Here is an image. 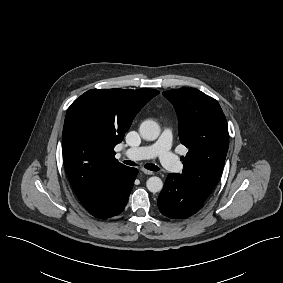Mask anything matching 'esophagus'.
Returning <instances> with one entry per match:
<instances>
[{
  "label": "esophagus",
  "mask_w": 283,
  "mask_h": 283,
  "mask_svg": "<svg viewBox=\"0 0 283 283\" xmlns=\"http://www.w3.org/2000/svg\"><path fill=\"white\" fill-rule=\"evenodd\" d=\"M141 171H142L143 173L147 174V175H153V174H154L153 171L147 170V169H145V168H142Z\"/></svg>",
  "instance_id": "obj_1"
}]
</instances>
